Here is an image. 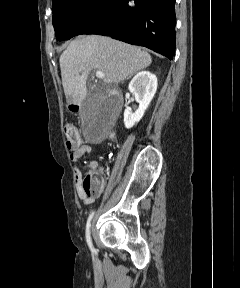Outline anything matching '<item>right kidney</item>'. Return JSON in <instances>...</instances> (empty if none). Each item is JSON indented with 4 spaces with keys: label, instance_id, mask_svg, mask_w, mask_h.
I'll return each mask as SVG.
<instances>
[{
    "label": "right kidney",
    "instance_id": "1",
    "mask_svg": "<svg viewBox=\"0 0 240 288\" xmlns=\"http://www.w3.org/2000/svg\"><path fill=\"white\" fill-rule=\"evenodd\" d=\"M157 90V77L149 71H142L134 76L129 84V91L139 103L138 109L132 113L130 109L124 111L126 128L133 127L143 117Z\"/></svg>",
    "mask_w": 240,
    "mask_h": 288
}]
</instances>
